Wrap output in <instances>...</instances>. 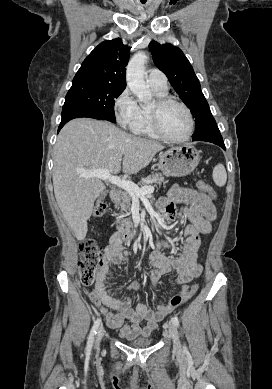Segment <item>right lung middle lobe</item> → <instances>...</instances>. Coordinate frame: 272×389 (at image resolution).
Masks as SVG:
<instances>
[{"instance_id":"right-lung-middle-lobe-1","label":"right lung middle lobe","mask_w":272,"mask_h":389,"mask_svg":"<svg viewBox=\"0 0 272 389\" xmlns=\"http://www.w3.org/2000/svg\"><path fill=\"white\" fill-rule=\"evenodd\" d=\"M125 88L105 84L77 83L69 89L62 112L82 110L115 122L114 104Z\"/></svg>"}]
</instances>
